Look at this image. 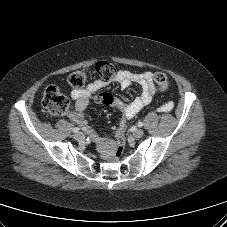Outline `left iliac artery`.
Wrapping results in <instances>:
<instances>
[{"instance_id": "obj_1", "label": "left iliac artery", "mask_w": 227, "mask_h": 227, "mask_svg": "<svg viewBox=\"0 0 227 227\" xmlns=\"http://www.w3.org/2000/svg\"><path fill=\"white\" fill-rule=\"evenodd\" d=\"M143 123L142 122H138V127H142Z\"/></svg>"}]
</instances>
